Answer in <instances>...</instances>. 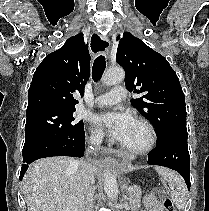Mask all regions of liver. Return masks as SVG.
<instances>
[{"mask_svg": "<svg viewBox=\"0 0 209 211\" xmlns=\"http://www.w3.org/2000/svg\"><path fill=\"white\" fill-rule=\"evenodd\" d=\"M81 161L58 156L33 162L24 177L28 211H85L88 184ZM94 174L98 168L93 166Z\"/></svg>", "mask_w": 209, "mask_h": 211, "instance_id": "obj_1", "label": "liver"}]
</instances>
